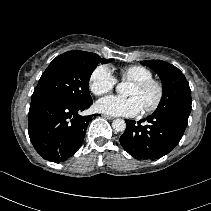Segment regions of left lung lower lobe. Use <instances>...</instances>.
Here are the masks:
<instances>
[{
    "label": "left lung lower lobe",
    "mask_w": 211,
    "mask_h": 211,
    "mask_svg": "<svg viewBox=\"0 0 211 211\" xmlns=\"http://www.w3.org/2000/svg\"><path fill=\"white\" fill-rule=\"evenodd\" d=\"M125 121L126 130L120 137L123 148L133 157L154 160L177 146L187 127L188 117L174 111H164L154 112L137 123Z\"/></svg>",
    "instance_id": "left-lung-lower-lobe-1"
}]
</instances>
